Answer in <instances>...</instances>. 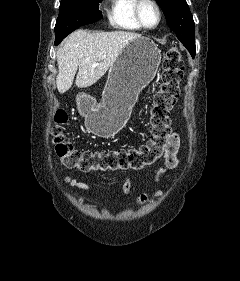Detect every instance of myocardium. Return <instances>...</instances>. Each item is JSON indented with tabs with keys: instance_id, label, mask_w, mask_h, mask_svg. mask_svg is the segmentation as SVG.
I'll return each mask as SVG.
<instances>
[{
	"instance_id": "1",
	"label": "myocardium",
	"mask_w": 240,
	"mask_h": 281,
	"mask_svg": "<svg viewBox=\"0 0 240 281\" xmlns=\"http://www.w3.org/2000/svg\"><path fill=\"white\" fill-rule=\"evenodd\" d=\"M145 3H150L152 4L157 12V22L156 24H154L153 26H148L144 23L142 15H141V8ZM134 14H135V18L138 22V24L143 28V29H147V30H152L157 28L161 22H162V18H163V13H162V9L160 4L158 3L157 0H136V4H135V8H134Z\"/></svg>"
}]
</instances>
